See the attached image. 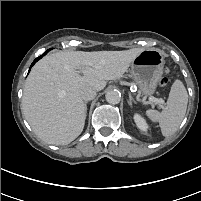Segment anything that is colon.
Here are the masks:
<instances>
[{
  "mask_svg": "<svg viewBox=\"0 0 201 201\" xmlns=\"http://www.w3.org/2000/svg\"><path fill=\"white\" fill-rule=\"evenodd\" d=\"M167 82H168V78H167L166 76H163V77L161 78L159 84H160L161 86H165V85L167 84Z\"/></svg>",
  "mask_w": 201,
  "mask_h": 201,
  "instance_id": "obj_1",
  "label": "colon"
}]
</instances>
